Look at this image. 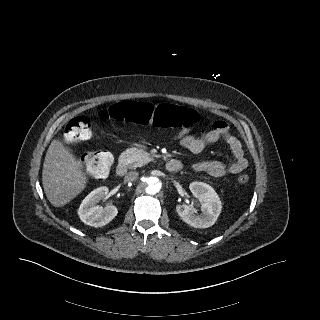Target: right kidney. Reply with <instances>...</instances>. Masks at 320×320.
<instances>
[{
    "mask_svg": "<svg viewBox=\"0 0 320 320\" xmlns=\"http://www.w3.org/2000/svg\"><path fill=\"white\" fill-rule=\"evenodd\" d=\"M108 193L107 187H99L85 197L78 210L83 223L93 227H102L117 216L118 209L114 205H107L104 208L97 205L100 200L108 196Z\"/></svg>",
    "mask_w": 320,
    "mask_h": 320,
    "instance_id": "right-kidney-1",
    "label": "right kidney"
}]
</instances>
